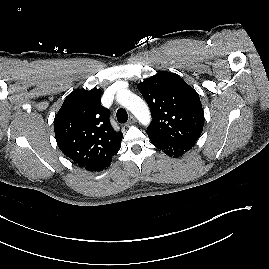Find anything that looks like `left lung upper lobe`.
I'll return each instance as SVG.
<instances>
[{"label":"left lung upper lobe","instance_id":"1","mask_svg":"<svg viewBox=\"0 0 269 269\" xmlns=\"http://www.w3.org/2000/svg\"><path fill=\"white\" fill-rule=\"evenodd\" d=\"M148 103L152 122L150 139L185 143L196 142L204 125V111L198 93L179 75L161 72L138 84Z\"/></svg>","mask_w":269,"mask_h":269}]
</instances>
